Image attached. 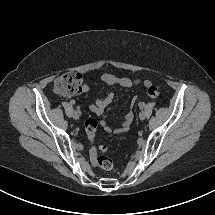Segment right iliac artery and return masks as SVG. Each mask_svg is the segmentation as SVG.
Instances as JSON below:
<instances>
[{
  "label": "right iliac artery",
  "instance_id": "right-iliac-artery-1",
  "mask_svg": "<svg viewBox=\"0 0 215 215\" xmlns=\"http://www.w3.org/2000/svg\"><path fill=\"white\" fill-rule=\"evenodd\" d=\"M71 104H75V101H71Z\"/></svg>",
  "mask_w": 215,
  "mask_h": 215
}]
</instances>
